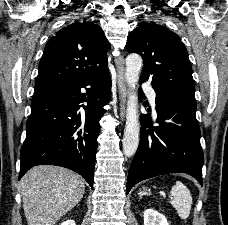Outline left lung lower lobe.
Masks as SVG:
<instances>
[{
	"label": "left lung lower lobe",
	"instance_id": "1",
	"mask_svg": "<svg viewBox=\"0 0 228 225\" xmlns=\"http://www.w3.org/2000/svg\"><path fill=\"white\" fill-rule=\"evenodd\" d=\"M138 95L142 101L141 89ZM155 103L159 126L152 127L149 115L141 116L140 143L129 169L126 194L139 181L167 173H187L202 185L204 156L196 104L159 95Z\"/></svg>",
	"mask_w": 228,
	"mask_h": 225
}]
</instances>
